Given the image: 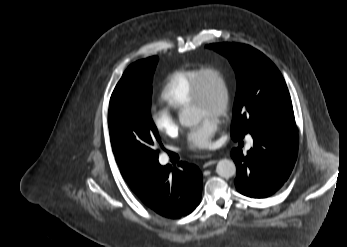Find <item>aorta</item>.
<instances>
[{
  "label": "aorta",
  "instance_id": "762f6f07",
  "mask_svg": "<svg viewBox=\"0 0 347 247\" xmlns=\"http://www.w3.org/2000/svg\"><path fill=\"white\" fill-rule=\"evenodd\" d=\"M200 121V113L193 108H186L179 114V122L184 127H191ZM216 172L220 177L228 179L236 173L235 163L230 159H221L217 163Z\"/></svg>",
  "mask_w": 347,
  "mask_h": 247
}]
</instances>
